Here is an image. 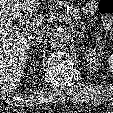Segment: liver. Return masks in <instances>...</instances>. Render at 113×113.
<instances>
[{"mask_svg": "<svg viewBox=\"0 0 113 113\" xmlns=\"http://www.w3.org/2000/svg\"><path fill=\"white\" fill-rule=\"evenodd\" d=\"M39 0H0V91L16 90L27 61L34 27L42 25V16L31 17L29 25L21 32L15 30L13 21L19 10L36 11Z\"/></svg>", "mask_w": 113, "mask_h": 113, "instance_id": "liver-1", "label": "liver"}]
</instances>
